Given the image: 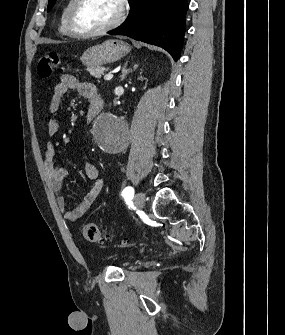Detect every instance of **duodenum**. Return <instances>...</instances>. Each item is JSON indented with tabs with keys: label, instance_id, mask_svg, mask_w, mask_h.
Returning <instances> with one entry per match:
<instances>
[{
	"label": "duodenum",
	"instance_id": "410a0bca",
	"mask_svg": "<svg viewBox=\"0 0 285 335\" xmlns=\"http://www.w3.org/2000/svg\"><path fill=\"white\" fill-rule=\"evenodd\" d=\"M101 107H102L101 99L95 100L89 105L87 115H86V119L88 122L94 119V117L99 113Z\"/></svg>",
	"mask_w": 285,
	"mask_h": 335
}]
</instances>
